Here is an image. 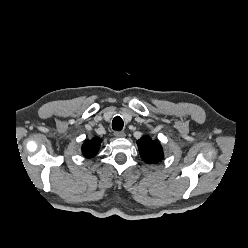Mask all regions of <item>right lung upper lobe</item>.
<instances>
[{
	"label": "right lung upper lobe",
	"mask_w": 248,
	"mask_h": 248,
	"mask_svg": "<svg viewBox=\"0 0 248 248\" xmlns=\"http://www.w3.org/2000/svg\"><path fill=\"white\" fill-rule=\"evenodd\" d=\"M101 139L98 137H94L91 140H86L82 145V153L86 158L94 157L100 148Z\"/></svg>",
	"instance_id": "1"
}]
</instances>
